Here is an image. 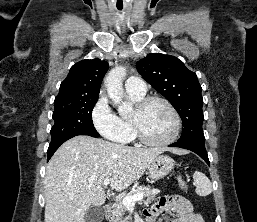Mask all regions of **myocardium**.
Returning <instances> with one entry per match:
<instances>
[{"instance_id":"1","label":"myocardium","mask_w":257,"mask_h":222,"mask_svg":"<svg viewBox=\"0 0 257 222\" xmlns=\"http://www.w3.org/2000/svg\"><path fill=\"white\" fill-rule=\"evenodd\" d=\"M153 103H162L164 104L170 113L173 116L174 120V130L172 134L161 141H152L149 138H147L140 126V116L141 114ZM131 124L133 127V132L134 135L139 139V141L147 146L151 147H163V146H168L172 144L179 136L181 132V127H182V121L181 117L177 111V109L174 107V105L167 100L166 98L160 97V96H149L145 97L142 100H140L133 111V113L130 116Z\"/></svg>"}]
</instances>
